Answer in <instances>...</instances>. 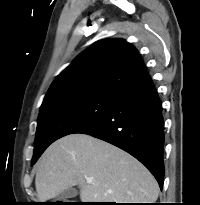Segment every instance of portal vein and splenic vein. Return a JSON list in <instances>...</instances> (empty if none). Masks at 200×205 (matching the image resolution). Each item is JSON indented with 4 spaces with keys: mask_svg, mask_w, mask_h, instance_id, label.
Masks as SVG:
<instances>
[{
    "mask_svg": "<svg viewBox=\"0 0 200 205\" xmlns=\"http://www.w3.org/2000/svg\"><path fill=\"white\" fill-rule=\"evenodd\" d=\"M86 181H87V183H92L93 182V180L91 178H87Z\"/></svg>",
    "mask_w": 200,
    "mask_h": 205,
    "instance_id": "portal-vein-and-splenic-vein-1",
    "label": "portal vein and splenic vein"
}]
</instances>
